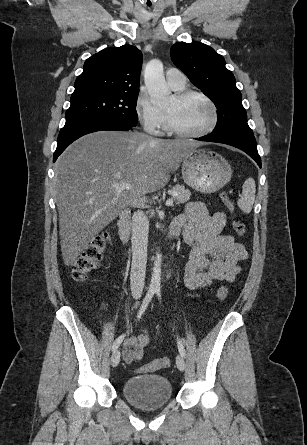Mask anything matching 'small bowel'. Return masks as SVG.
Listing matches in <instances>:
<instances>
[{
  "label": "small bowel",
  "mask_w": 307,
  "mask_h": 445,
  "mask_svg": "<svg viewBox=\"0 0 307 445\" xmlns=\"http://www.w3.org/2000/svg\"><path fill=\"white\" fill-rule=\"evenodd\" d=\"M225 225L226 215L209 213L202 202H189L171 223L170 227L182 234L191 248L184 270V284L188 289H204L215 281L232 282L240 273V262L248 258V252L232 235L222 233ZM149 343L147 332L127 338L123 344V360L139 362Z\"/></svg>",
  "instance_id": "obj_1"
}]
</instances>
